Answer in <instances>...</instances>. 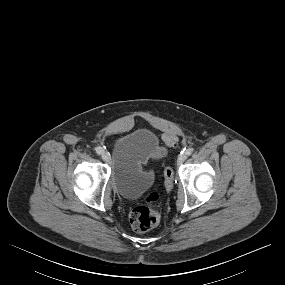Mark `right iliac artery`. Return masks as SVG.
Instances as JSON below:
<instances>
[{
	"label": "right iliac artery",
	"instance_id": "1",
	"mask_svg": "<svg viewBox=\"0 0 285 285\" xmlns=\"http://www.w3.org/2000/svg\"><path fill=\"white\" fill-rule=\"evenodd\" d=\"M104 152L103 148L102 147H97L96 148V153L101 155L102 153Z\"/></svg>",
	"mask_w": 285,
	"mask_h": 285
}]
</instances>
